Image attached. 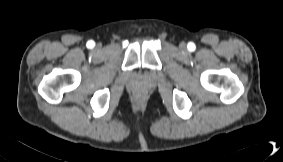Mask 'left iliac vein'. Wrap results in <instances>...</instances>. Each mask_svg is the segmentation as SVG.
<instances>
[{
  "instance_id": "left-iliac-vein-1",
  "label": "left iliac vein",
  "mask_w": 283,
  "mask_h": 162,
  "mask_svg": "<svg viewBox=\"0 0 283 162\" xmlns=\"http://www.w3.org/2000/svg\"><path fill=\"white\" fill-rule=\"evenodd\" d=\"M180 49L185 50L186 49V44L185 43H180Z\"/></svg>"
}]
</instances>
